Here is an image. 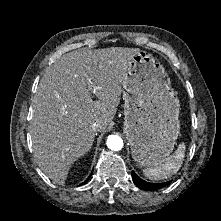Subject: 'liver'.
I'll return each instance as SVG.
<instances>
[{
  "label": "liver",
  "instance_id": "1",
  "mask_svg": "<svg viewBox=\"0 0 221 221\" xmlns=\"http://www.w3.org/2000/svg\"><path fill=\"white\" fill-rule=\"evenodd\" d=\"M139 52L81 49L64 54L46 70L33 99L30 135L34 158L54 183L63 185L72 164L91 149L92 124L99 122L102 132L112 122L128 65ZM89 85L97 88L89 90Z\"/></svg>",
  "mask_w": 221,
  "mask_h": 221
}]
</instances>
